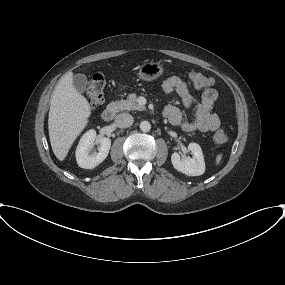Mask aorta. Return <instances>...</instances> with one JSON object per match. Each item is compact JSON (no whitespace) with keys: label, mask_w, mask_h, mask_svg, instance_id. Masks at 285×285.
Returning <instances> with one entry per match:
<instances>
[{"label":"aorta","mask_w":285,"mask_h":285,"mask_svg":"<svg viewBox=\"0 0 285 285\" xmlns=\"http://www.w3.org/2000/svg\"><path fill=\"white\" fill-rule=\"evenodd\" d=\"M140 129L142 132H149L151 129V124L148 121H142L140 123Z\"/></svg>","instance_id":"obj_1"}]
</instances>
